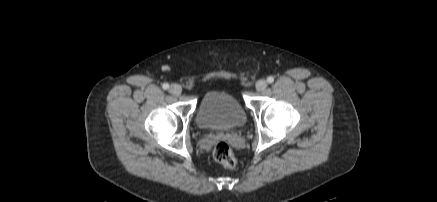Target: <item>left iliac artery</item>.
<instances>
[{"label":"left iliac artery","instance_id":"1","mask_svg":"<svg viewBox=\"0 0 437 202\" xmlns=\"http://www.w3.org/2000/svg\"><path fill=\"white\" fill-rule=\"evenodd\" d=\"M267 82L268 83H273L274 82V77H272V76H269L268 78H267Z\"/></svg>","mask_w":437,"mask_h":202}]
</instances>
